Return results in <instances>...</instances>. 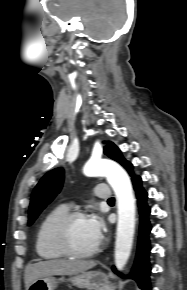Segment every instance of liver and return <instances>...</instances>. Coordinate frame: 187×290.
Wrapping results in <instances>:
<instances>
[{
	"label": "liver",
	"mask_w": 187,
	"mask_h": 290,
	"mask_svg": "<svg viewBox=\"0 0 187 290\" xmlns=\"http://www.w3.org/2000/svg\"><path fill=\"white\" fill-rule=\"evenodd\" d=\"M96 261L54 259L28 264L25 269V288L39 278L52 275H74L96 266Z\"/></svg>",
	"instance_id": "liver-1"
}]
</instances>
